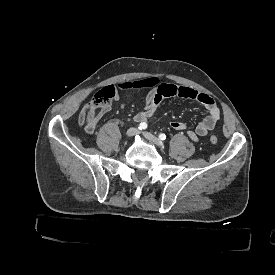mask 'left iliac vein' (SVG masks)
Returning a JSON list of instances; mask_svg holds the SVG:
<instances>
[{"label": "left iliac vein", "mask_w": 275, "mask_h": 275, "mask_svg": "<svg viewBox=\"0 0 275 275\" xmlns=\"http://www.w3.org/2000/svg\"><path fill=\"white\" fill-rule=\"evenodd\" d=\"M143 135H144V137L147 139V140H149V141H151L152 143H154L155 145H157V146H159V147H163L164 146V144H163V142L161 141V139H159V138H157V137H155L153 134H151L150 132H143Z\"/></svg>", "instance_id": "left-iliac-vein-1"}]
</instances>
